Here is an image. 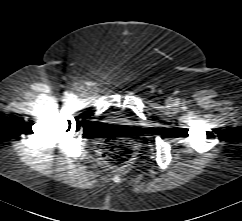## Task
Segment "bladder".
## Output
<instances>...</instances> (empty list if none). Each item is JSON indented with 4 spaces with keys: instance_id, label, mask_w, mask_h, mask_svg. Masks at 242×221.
<instances>
[{
    "instance_id": "1",
    "label": "bladder",
    "mask_w": 242,
    "mask_h": 221,
    "mask_svg": "<svg viewBox=\"0 0 242 221\" xmlns=\"http://www.w3.org/2000/svg\"><path fill=\"white\" fill-rule=\"evenodd\" d=\"M125 120H126L125 117H123L121 115H113L112 116L113 124L120 125L121 123H126Z\"/></svg>"
}]
</instances>
